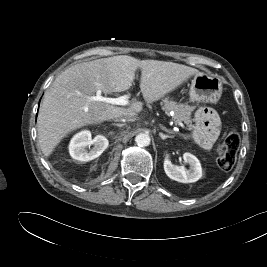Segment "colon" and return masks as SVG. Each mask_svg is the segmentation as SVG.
Returning <instances> with one entry per match:
<instances>
[{
    "mask_svg": "<svg viewBox=\"0 0 267 267\" xmlns=\"http://www.w3.org/2000/svg\"><path fill=\"white\" fill-rule=\"evenodd\" d=\"M239 144L240 137L236 131H230L225 135L219 147V156L217 159V164L221 170L228 171L233 167Z\"/></svg>",
    "mask_w": 267,
    "mask_h": 267,
    "instance_id": "1",
    "label": "colon"
}]
</instances>
